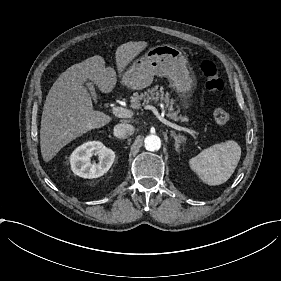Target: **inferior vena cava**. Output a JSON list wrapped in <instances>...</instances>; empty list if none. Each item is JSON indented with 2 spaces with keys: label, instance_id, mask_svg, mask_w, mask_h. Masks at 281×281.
Segmentation results:
<instances>
[{
  "label": "inferior vena cava",
  "instance_id": "obj_1",
  "mask_svg": "<svg viewBox=\"0 0 281 281\" xmlns=\"http://www.w3.org/2000/svg\"><path fill=\"white\" fill-rule=\"evenodd\" d=\"M113 133L117 138H127L134 133V127L131 124H117Z\"/></svg>",
  "mask_w": 281,
  "mask_h": 281
}]
</instances>
